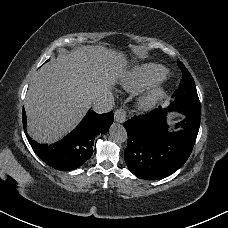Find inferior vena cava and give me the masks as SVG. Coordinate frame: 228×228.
I'll return each instance as SVG.
<instances>
[{
	"label": "inferior vena cava",
	"mask_w": 228,
	"mask_h": 228,
	"mask_svg": "<svg viewBox=\"0 0 228 228\" xmlns=\"http://www.w3.org/2000/svg\"><path fill=\"white\" fill-rule=\"evenodd\" d=\"M90 99L92 109L97 113H105L113 109L114 96L110 91L104 94H91Z\"/></svg>",
	"instance_id": "1"
}]
</instances>
